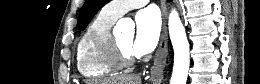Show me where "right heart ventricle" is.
I'll list each match as a JSON object with an SVG mask.
<instances>
[{"instance_id":"obj_1","label":"right heart ventricle","mask_w":260,"mask_h":84,"mask_svg":"<svg viewBox=\"0 0 260 84\" xmlns=\"http://www.w3.org/2000/svg\"><path fill=\"white\" fill-rule=\"evenodd\" d=\"M117 19L101 10L82 35L76 54L79 73L89 79L107 78L120 69L110 62L107 42Z\"/></svg>"}]
</instances>
